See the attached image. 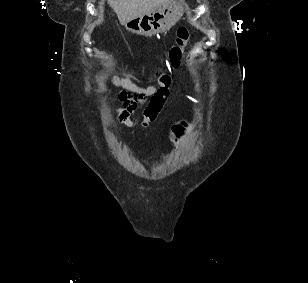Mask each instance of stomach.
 <instances>
[{
    "instance_id": "0dacf381",
    "label": "stomach",
    "mask_w": 308,
    "mask_h": 283,
    "mask_svg": "<svg viewBox=\"0 0 308 283\" xmlns=\"http://www.w3.org/2000/svg\"><path fill=\"white\" fill-rule=\"evenodd\" d=\"M183 11L182 3L173 0L169 4L158 6L142 16L135 17L127 22L125 27L134 34L151 37L170 30L180 20Z\"/></svg>"
}]
</instances>
